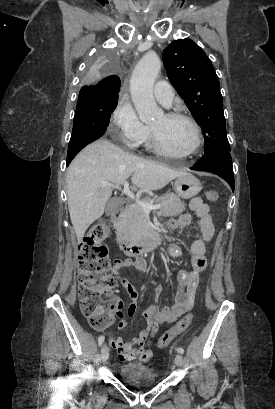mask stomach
<instances>
[{
    "label": "stomach",
    "instance_id": "stomach-1",
    "mask_svg": "<svg viewBox=\"0 0 275 409\" xmlns=\"http://www.w3.org/2000/svg\"><path fill=\"white\" fill-rule=\"evenodd\" d=\"M202 184L199 178L194 174H185V176H178L174 182V190L181 198H192L200 192Z\"/></svg>",
    "mask_w": 275,
    "mask_h": 409
}]
</instances>
